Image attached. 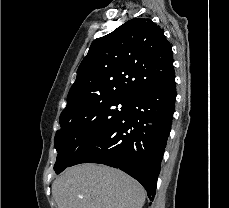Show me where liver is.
<instances>
[{
  "label": "liver",
  "mask_w": 229,
  "mask_h": 208,
  "mask_svg": "<svg viewBox=\"0 0 229 208\" xmlns=\"http://www.w3.org/2000/svg\"><path fill=\"white\" fill-rule=\"evenodd\" d=\"M58 208H142L145 190L136 180L102 164H79L52 184Z\"/></svg>",
  "instance_id": "obj_1"
}]
</instances>
